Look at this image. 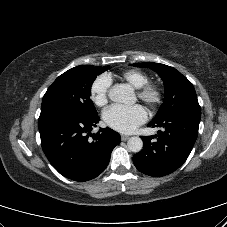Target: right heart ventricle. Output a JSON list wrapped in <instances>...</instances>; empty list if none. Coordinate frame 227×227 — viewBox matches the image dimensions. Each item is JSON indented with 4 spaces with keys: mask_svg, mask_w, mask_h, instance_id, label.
Returning <instances> with one entry per match:
<instances>
[{
    "mask_svg": "<svg viewBox=\"0 0 227 227\" xmlns=\"http://www.w3.org/2000/svg\"><path fill=\"white\" fill-rule=\"evenodd\" d=\"M121 78L134 88L138 89L148 83V76L140 70H126L121 74Z\"/></svg>",
    "mask_w": 227,
    "mask_h": 227,
    "instance_id": "e07e8e85",
    "label": "right heart ventricle"
}]
</instances>
